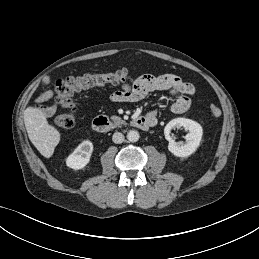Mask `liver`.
Listing matches in <instances>:
<instances>
[{
	"label": "liver",
	"mask_w": 259,
	"mask_h": 259,
	"mask_svg": "<svg viewBox=\"0 0 259 259\" xmlns=\"http://www.w3.org/2000/svg\"><path fill=\"white\" fill-rule=\"evenodd\" d=\"M24 123L30 141L46 158H50L60 141V132L47 121L42 110L28 107L24 112Z\"/></svg>",
	"instance_id": "liver-1"
}]
</instances>
